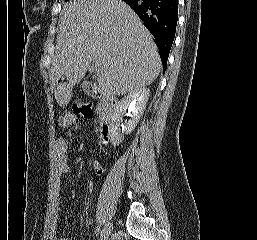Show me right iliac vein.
Masks as SVG:
<instances>
[{"label":"right iliac vein","mask_w":257,"mask_h":240,"mask_svg":"<svg viewBox=\"0 0 257 240\" xmlns=\"http://www.w3.org/2000/svg\"><path fill=\"white\" fill-rule=\"evenodd\" d=\"M113 230V224L108 222L101 233V240H108Z\"/></svg>","instance_id":"obj_1"}]
</instances>
